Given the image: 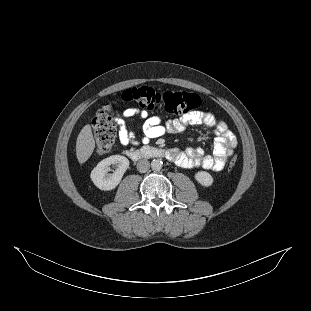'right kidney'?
<instances>
[{
  "label": "right kidney",
  "mask_w": 311,
  "mask_h": 311,
  "mask_svg": "<svg viewBox=\"0 0 311 311\" xmlns=\"http://www.w3.org/2000/svg\"><path fill=\"white\" fill-rule=\"evenodd\" d=\"M110 165H115L116 170L109 174ZM129 167V160L122 155H112L103 159L91 172V180L101 190H112L121 181L125 171Z\"/></svg>",
  "instance_id": "1"
}]
</instances>
